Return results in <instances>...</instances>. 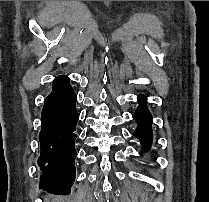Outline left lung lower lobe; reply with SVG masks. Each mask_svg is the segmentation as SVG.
<instances>
[{"instance_id": "obj_1", "label": "left lung lower lobe", "mask_w": 209, "mask_h": 202, "mask_svg": "<svg viewBox=\"0 0 209 202\" xmlns=\"http://www.w3.org/2000/svg\"><path fill=\"white\" fill-rule=\"evenodd\" d=\"M137 99L140 102V106L133 115V119L137 121L138 127L133 135L137 137L144 146H148L152 143L151 123L153 119L145 105L147 98L144 96H139Z\"/></svg>"}]
</instances>
